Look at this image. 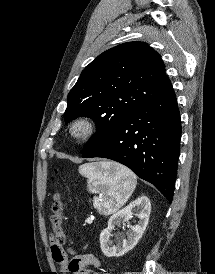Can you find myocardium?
<instances>
[{"instance_id":"obj_1","label":"myocardium","mask_w":215,"mask_h":274,"mask_svg":"<svg viewBox=\"0 0 215 274\" xmlns=\"http://www.w3.org/2000/svg\"><path fill=\"white\" fill-rule=\"evenodd\" d=\"M96 132L94 122L88 117H77L68 126V133L74 140L84 141L92 137Z\"/></svg>"}]
</instances>
